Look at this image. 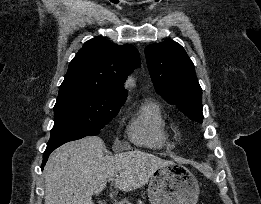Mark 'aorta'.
I'll list each match as a JSON object with an SVG mask.
<instances>
[{"label":"aorta","instance_id":"aorta-1","mask_svg":"<svg viewBox=\"0 0 261 204\" xmlns=\"http://www.w3.org/2000/svg\"><path fill=\"white\" fill-rule=\"evenodd\" d=\"M128 82L132 83V82H133V79H132V78H130V79L128 80Z\"/></svg>","mask_w":261,"mask_h":204}]
</instances>
